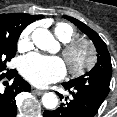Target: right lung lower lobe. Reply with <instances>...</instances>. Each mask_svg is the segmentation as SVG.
I'll return each instance as SVG.
<instances>
[{
  "instance_id": "right-lung-lower-lobe-1",
  "label": "right lung lower lobe",
  "mask_w": 117,
  "mask_h": 117,
  "mask_svg": "<svg viewBox=\"0 0 117 117\" xmlns=\"http://www.w3.org/2000/svg\"><path fill=\"white\" fill-rule=\"evenodd\" d=\"M5 76L8 79L14 78V81L11 85H7L4 91H0V117H15L17 113L16 95L22 91H30L31 87L29 83L18 75L16 70H10L6 74L2 73L0 81Z\"/></svg>"
}]
</instances>
